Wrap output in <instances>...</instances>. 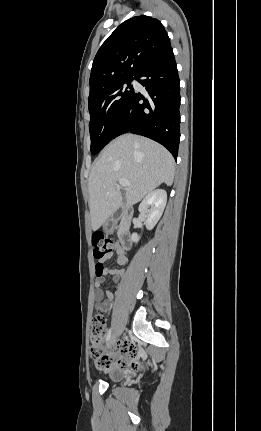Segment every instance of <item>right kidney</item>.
<instances>
[{
    "label": "right kidney",
    "mask_w": 261,
    "mask_h": 431,
    "mask_svg": "<svg viewBox=\"0 0 261 431\" xmlns=\"http://www.w3.org/2000/svg\"><path fill=\"white\" fill-rule=\"evenodd\" d=\"M167 202V193L163 189H157L150 192L139 206L140 213L146 218V228L151 230L161 218ZM151 206V208H149ZM133 242L139 240L137 233L131 236Z\"/></svg>",
    "instance_id": "1"
}]
</instances>
